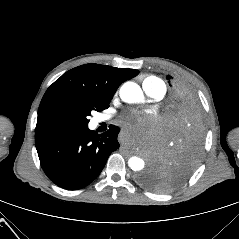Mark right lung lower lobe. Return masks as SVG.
I'll return each instance as SVG.
<instances>
[{
  "label": "right lung lower lobe",
  "mask_w": 239,
  "mask_h": 239,
  "mask_svg": "<svg viewBox=\"0 0 239 239\" xmlns=\"http://www.w3.org/2000/svg\"><path fill=\"white\" fill-rule=\"evenodd\" d=\"M120 129L110 125L99 135L87 125L35 135V145L43 171L48 178L67 190L81 189L102 171L114 150Z\"/></svg>",
  "instance_id": "right-lung-lower-lobe-1"
}]
</instances>
